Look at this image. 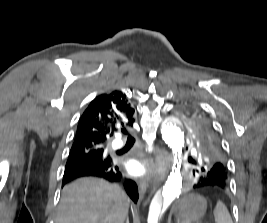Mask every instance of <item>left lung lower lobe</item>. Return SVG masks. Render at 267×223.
I'll use <instances>...</instances> for the list:
<instances>
[{
  "mask_svg": "<svg viewBox=\"0 0 267 223\" xmlns=\"http://www.w3.org/2000/svg\"><path fill=\"white\" fill-rule=\"evenodd\" d=\"M184 182H190V191L197 194L227 195L229 187H234L228 171H192Z\"/></svg>",
  "mask_w": 267,
  "mask_h": 223,
  "instance_id": "obj_1",
  "label": "left lung lower lobe"
}]
</instances>
